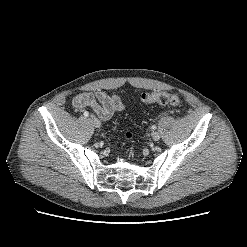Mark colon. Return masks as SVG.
Returning a JSON list of instances; mask_svg holds the SVG:
<instances>
[{"label":"colon","instance_id":"5ec220e1","mask_svg":"<svg viewBox=\"0 0 247 247\" xmlns=\"http://www.w3.org/2000/svg\"><path fill=\"white\" fill-rule=\"evenodd\" d=\"M141 99L146 104H160L168 106H178L180 104V97L177 94L164 91L144 93L142 94ZM125 139L127 141H131L132 134L130 132H126Z\"/></svg>","mask_w":247,"mask_h":247}]
</instances>
